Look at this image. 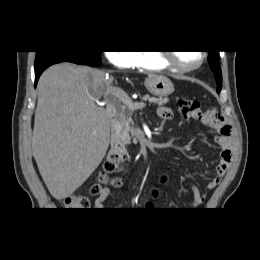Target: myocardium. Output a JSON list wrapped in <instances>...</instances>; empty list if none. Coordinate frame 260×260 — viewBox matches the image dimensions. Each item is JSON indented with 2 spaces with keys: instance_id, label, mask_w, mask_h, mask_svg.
I'll use <instances>...</instances> for the list:
<instances>
[{
  "instance_id": "obj_1",
  "label": "myocardium",
  "mask_w": 260,
  "mask_h": 260,
  "mask_svg": "<svg viewBox=\"0 0 260 260\" xmlns=\"http://www.w3.org/2000/svg\"><path fill=\"white\" fill-rule=\"evenodd\" d=\"M157 53L161 57V59L171 68L182 72H189L197 69L203 64L206 59V53L204 51H200V60L197 63L193 65H184L176 60L174 53L171 51H161Z\"/></svg>"
}]
</instances>
